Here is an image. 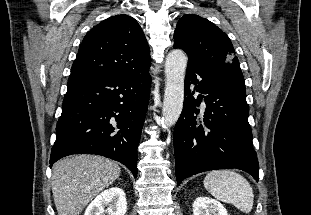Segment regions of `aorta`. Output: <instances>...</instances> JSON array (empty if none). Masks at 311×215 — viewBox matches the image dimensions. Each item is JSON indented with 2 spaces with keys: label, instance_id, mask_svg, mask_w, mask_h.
<instances>
[{
  "label": "aorta",
  "instance_id": "obj_1",
  "mask_svg": "<svg viewBox=\"0 0 311 215\" xmlns=\"http://www.w3.org/2000/svg\"><path fill=\"white\" fill-rule=\"evenodd\" d=\"M187 55L180 49H174L167 55L165 62V92L162 109L163 127L173 126L183 108L184 75Z\"/></svg>",
  "mask_w": 311,
  "mask_h": 215
}]
</instances>
